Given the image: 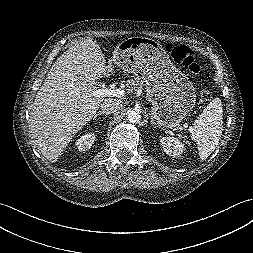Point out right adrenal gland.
Here are the masks:
<instances>
[{
    "mask_svg": "<svg viewBox=\"0 0 253 253\" xmlns=\"http://www.w3.org/2000/svg\"><path fill=\"white\" fill-rule=\"evenodd\" d=\"M105 113L102 112V111H99L95 114V116L93 117L94 119L97 118V116H100V115H104ZM106 116V115H105Z\"/></svg>",
    "mask_w": 253,
    "mask_h": 253,
    "instance_id": "2a0ac1e0",
    "label": "right adrenal gland"
}]
</instances>
